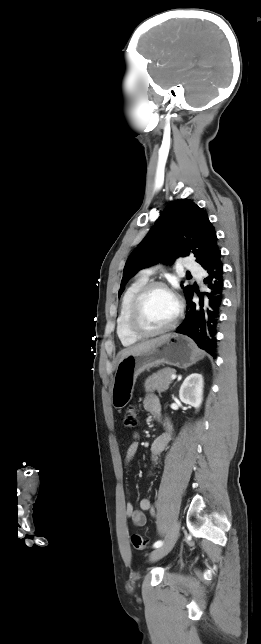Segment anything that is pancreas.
Returning a JSON list of instances; mask_svg holds the SVG:
<instances>
[{"mask_svg":"<svg viewBox=\"0 0 261 644\" xmlns=\"http://www.w3.org/2000/svg\"><path fill=\"white\" fill-rule=\"evenodd\" d=\"M175 373V369L164 368L152 374L145 381V391L147 393H153L154 391L161 393L166 391L172 383L171 375Z\"/></svg>","mask_w":261,"mask_h":644,"instance_id":"1","label":"pancreas"}]
</instances>
